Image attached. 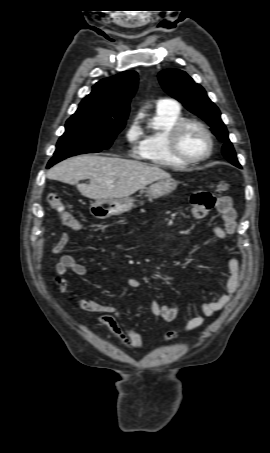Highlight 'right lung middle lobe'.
<instances>
[{"label": "right lung middle lobe", "instance_id": "obj_1", "mask_svg": "<svg viewBox=\"0 0 270 453\" xmlns=\"http://www.w3.org/2000/svg\"><path fill=\"white\" fill-rule=\"evenodd\" d=\"M125 123H116L92 116L71 117L65 133L59 138L48 168L73 155L100 152L109 148Z\"/></svg>", "mask_w": 270, "mask_h": 453}]
</instances>
